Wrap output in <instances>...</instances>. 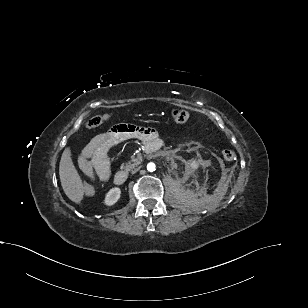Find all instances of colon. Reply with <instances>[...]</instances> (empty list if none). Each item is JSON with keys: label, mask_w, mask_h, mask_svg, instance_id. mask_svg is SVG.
Masks as SVG:
<instances>
[{"label": "colon", "mask_w": 308, "mask_h": 308, "mask_svg": "<svg viewBox=\"0 0 308 308\" xmlns=\"http://www.w3.org/2000/svg\"><path fill=\"white\" fill-rule=\"evenodd\" d=\"M171 116L172 120L176 124H184L189 118V113L183 108H175L174 110H172ZM108 119H109L108 115L93 116L91 119L88 120L86 127L89 129L96 128L105 123L106 121H108ZM222 154L223 158L226 161H233L236 158L235 152L230 149L224 150ZM83 191L86 197H93L95 195L96 188L93 185V183L87 182L84 185Z\"/></svg>", "instance_id": "1"}]
</instances>
